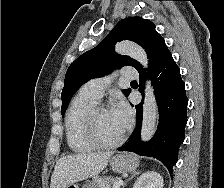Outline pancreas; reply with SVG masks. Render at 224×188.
<instances>
[{
  "label": "pancreas",
  "mask_w": 224,
  "mask_h": 188,
  "mask_svg": "<svg viewBox=\"0 0 224 188\" xmlns=\"http://www.w3.org/2000/svg\"><path fill=\"white\" fill-rule=\"evenodd\" d=\"M119 180L112 176H95L87 181L83 188H113L112 185Z\"/></svg>",
  "instance_id": "obj_1"
}]
</instances>
